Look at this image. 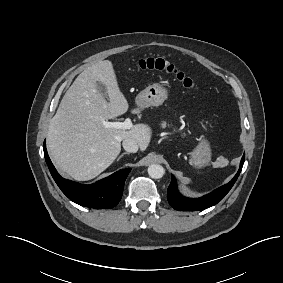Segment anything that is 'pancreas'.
Here are the masks:
<instances>
[{
    "mask_svg": "<svg viewBox=\"0 0 283 283\" xmlns=\"http://www.w3.org/2000/svg\"><path fill=\"white\" fill-rule=\"evenodd\" d=\"M167 125H168V124H167L165 121H163L162 124H161V127H162V128H165ZM168 126H169V125H168Z\"/></svg>",
    "mask_w": 283,
    "mask_h": 283,
    "instance_id": "obj_1",
    "label": "pancreas"
}]
</instances>
